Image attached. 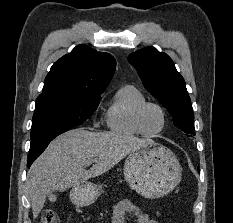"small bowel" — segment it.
<instances>
[{
  "label": "small bowel",
  "mask_w": 233,
  "mask_h": 223,
  "mask_svg": "<svg viewBox=\"0 0 233 223\" xmlns=\"http://www.w3.org/2000/svg\"><path fill=\"white\" fill-rule=\"evenodd\" d=\"M132 217L135 223H158L157 220L149 218L139 207L129 200H120L112 210V223H127L128 217Z\"/></svg>",
  "instance_id": "1"
}]
</instances>
